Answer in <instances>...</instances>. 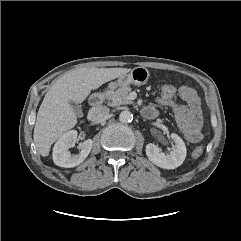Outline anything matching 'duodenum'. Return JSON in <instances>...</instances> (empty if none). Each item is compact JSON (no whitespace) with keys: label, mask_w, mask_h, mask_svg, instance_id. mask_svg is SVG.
Here are the masks:
<instances>
[{"label":"duodenum","mask_w":241,"mask_h":241,"mask_svg":"<svg viewBox=\"0 0 241 241\" xmlns=\"http://www.w3.org/2000/svg\"><path fill=\"white\" fill-rule=\"evenodd\" d=\"M106 94H107L106 90L94 93L90 97V104L93 107L100 106L104 102ZM144 114L149 118L155 117V113L148 109H144Z\"/></svg>","instance_id":"obj_1"}]
</instances>
